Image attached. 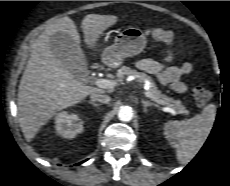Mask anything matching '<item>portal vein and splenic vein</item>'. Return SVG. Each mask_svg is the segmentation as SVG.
<instances>
[{
  "instance_id": "18ae733b",
  "label": "portal vein and splenic vein",
  "mask_w": 230,
  "mask_h": 186,
  "mask_svg": "<svg viewBox=\"0 0 230 186\" xmlns=\"http://www.w3.org/2000/svg\"><path fill=\"white\" fill-rule=\"evenodd\" d=\"M95 84L100 87V88H104V89H113L116 85H117V82L114 81V80H108V79H96L95 80ZM147 84L150 86V83L147 82ZM145 96L150 98L152 101H155L156 103L158 104H162L164 105V103L157 99L156 97H154L150 92L149 90H146L145 92ZM172 110V107L171 106H167L165 107V111H171Z\"/></svg>"
}]
</instances>
